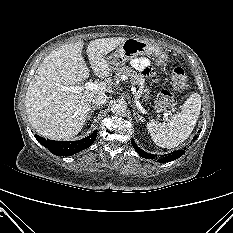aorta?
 <instances>
[{
	"mask_svg": "<svg viewBox=\"0 0 233 233\" xmlns=\"http://www.w3.org/2000/svg\"><path fill=\"white\" fill-rule=\"evenodd\" d=\"M111 110L116 115H122L127 110V103L122 99H118V100L114 101V103L111 107Z\"/></svg>",
	"mask_w": 233,
	"mask_h": 233,
	"instance_id": "762f6f07",
	"label": "aorta"
}]
</instances>
